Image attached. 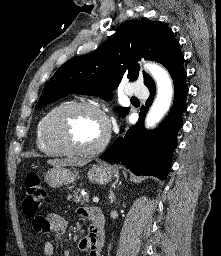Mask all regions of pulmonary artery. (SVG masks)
Masks as SVG:
<instances>
[{
  "label": "pulmonary artery",
  "mask_w": 221,
  "mask_h": 256,
  "mask_svg": "<svg viewBox=\"0 0 221 256\" xmlns=\"http://www.w3.org/2000/svg\"><path fill=\"white\" fill-rule=\"evenodd\" d=\"M127 94L130 96H136V97L143 98L148 95V89L143 83L135 82L129 86Z\"/></svg>",
  "instance_id": "pulmonary-artery-1"
}]
</instances>
